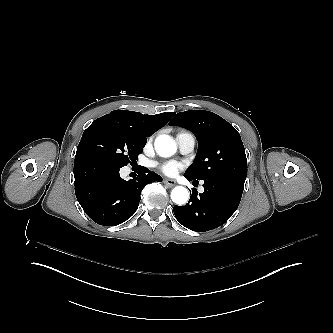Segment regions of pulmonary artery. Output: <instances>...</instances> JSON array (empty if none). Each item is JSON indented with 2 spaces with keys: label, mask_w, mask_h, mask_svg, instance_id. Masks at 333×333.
<instances>
[{
  "label": "pulmonary artery",
  "mask_w": 333,
  "mask_h": 333,
  "mask_svg": "<svg viewBox=\"0 0 333 333\" xmlns=\"http://www.w3.org/2000/svg\"><path fill=\"white\" fill-rule=\"evenodd\" d=\"M176 142L179 151L184 155H189L194 151L196 138L192 132L184 130L176 135Z\"/></svg>",
  "instance_id": "pulmonary-artery-1"
}]
</instances>
